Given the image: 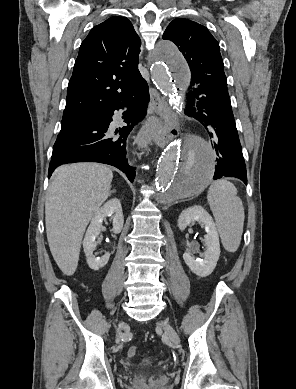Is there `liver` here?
I'll list each match as a JSON object with an SVG mask.
<instances>
[{"instance_id": "liver-1", "label": "liver", "mask_w": 296, "mask_h": 389, "mask_svg": "<svg viewBox=\"0 0 296 389\" xmlns=\"http://www.w3.org/2000/svg\"><path fill=\"white\" fill-rule=\"evenodd\" d=\"M112 170L98 163H74L58 167L45 202L47 240L63 274L77 269L85 229L110 195Z\"/></svg>"}]
</instances>
